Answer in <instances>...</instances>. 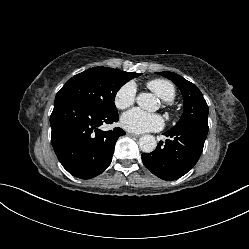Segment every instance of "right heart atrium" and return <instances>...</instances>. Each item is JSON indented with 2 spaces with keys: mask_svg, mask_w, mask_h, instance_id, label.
Instances as JSON below:
<instances>
[{
  "mask_svg": "<svg viewBox=\"0 0 249 249\" xmlns=\"http://www.w3.org/2000/svg\"><path fill=\"white\" fill-rule=\"evenodd\" d=\"M135 98L136 86L132 82H127L116 91L114 104L118 109L124 110L133 105Z\"/></svg>",
  "mask_w": 249,
  "mask_h": 249,
  "instance_id": "1",
  "label": "right heart atrium"
}]
</instances>
